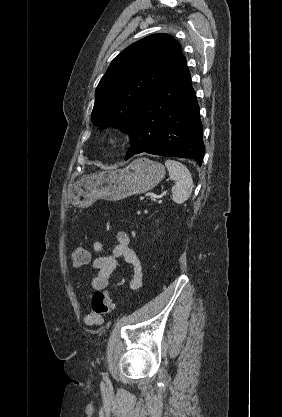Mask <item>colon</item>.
<instances>
[{
	"mask_svg": "<svg viewBox=\"0 0 282 417\" xmlns=\"http://www.w3.org/2000/svg\"><path fill=\"white\" fill-rule=\"evenodd\" d=\"M72 259L75 267H85L91 261L88 251L82 247H77L73 250ZM91 307L97 315L110 313L114 307L110 293L108 291H96L92 297Z\"/></svg>",
	"mask_w": 282,
	"mask_h": 417,
	"instance_id": "obj_1",
	"label": "colon"
}]
</instances>
